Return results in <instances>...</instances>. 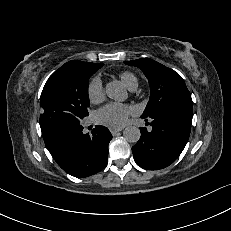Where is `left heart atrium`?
Here are the masks:
<instances>
[{
  "instance_id": "39dd6f15",
  "label": "left heart atrium",
  "mask_w": 231,
  "mask_h": 231,
  "mask_svg": "<svg viewBox=\"0 0 231 231\" xmlns=\"http://www.w3.org/2000/svg\"><path fill=\"white\" fill-rule=\"evenodd\" d=\"M132 112V108L128 105L109 103L97 111L95 120L101 125L119 129L127 123Z\"/></svg>"
}]
</instances>
